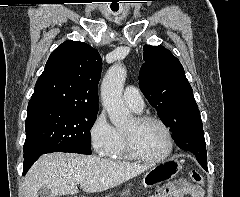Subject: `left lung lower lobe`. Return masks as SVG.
Segmentation results:
<instances>
[{
	"instance_id": "1",
	"label": "left lung lower lobe",
	"mask_w": 240,
	"mask_h": 197,
	"mask_svg": "<svg viewBox=\"0 0 240 197\" xmlns=\"http://www.w3.org/2000/svg\"><path fill=\"white\" fill-rule=\"evenodd\" d=\"M198 126H192L189 128H184L180 130V133L178 134L177 138L175 139L176 143L179 144L178 146L182 149L183 147V141H190L192 139L197 138L198 135ZM207 159V158H206ZM203 158H197L198 162L201 164V166L207 171V160Z\"/></svg>"
}]
</instances>
